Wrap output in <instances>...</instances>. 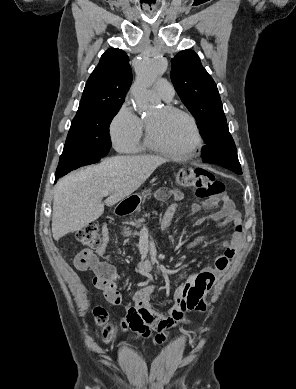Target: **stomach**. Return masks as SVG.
I'll list each match as a JSON object with an SVG mask.
<instances>
[{"label":"stomach","instance_id":"1","mask_svg":"<svg viewBox=\"0 0 296 389\" xmlns=\"http://www.w3.org/2000/svg\"><path fill=\"white\" fill-rule=\"evenodd\" d=\"M145 193H142V195H136V196L141 200L143 196H146Z\"/></svg>","mask_w":296,"mask_h":389}]
</instances>
